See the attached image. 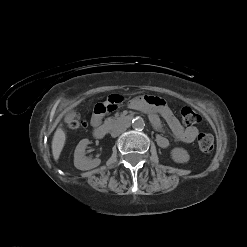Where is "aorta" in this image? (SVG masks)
Here are the masks:
<instances>
[{"instance_id": "1", "label": "aorta", "mask_w": 247, "mask_h": 247, "mask_svg": "<svg viewBox=\"0 0 247 247\" xmlns=\"http://www.w3.org/2000/svg\"><path fill=\"white\" fill-rule=\"evenodd\" d=\"M145 126L144 120L141 117H136L132 120V127L136 130L143 129Z\"/></svg>"}]
</instances>
